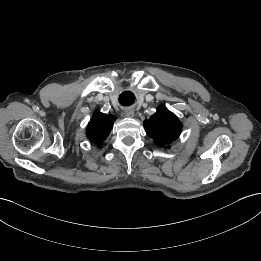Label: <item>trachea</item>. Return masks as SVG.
I'll return each mask as SVG.
<instances>
[{"label":"trachea","instance_id":"1","mask_svg":"<svg viewBox=\"0 0 261 261\" xmlns=\"http://www.w3.org/2000/svg\"><path fill=\"white\" fill-rule=\"evenodd\" d=\"M135 100L134 95L131 92H124L120 96V103L124 106L131 105Z\"/></svg>","mask_w":261,"mask_h":261}]
</instances>
